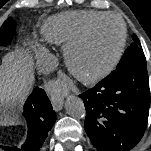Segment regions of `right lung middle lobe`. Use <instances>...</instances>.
I'll use <instances>...</instances> for the list:
<instances>
[{
    "label": "right lung middle lobe",
    "instance_id": "1",
    "mask_svg": "<svg viewBox=\"0 0 151 151\" xmlns=\"http://www.w3.org/2000/svg\"><path fill=\"white\" fill-rule=\"evenodd\" d=\"M15 23L12 17H9L0 28V46L10 43L14 36Z\"/></svg>",
    "mask_w": 151,
    "mask_h": 151
}]
</instances>
